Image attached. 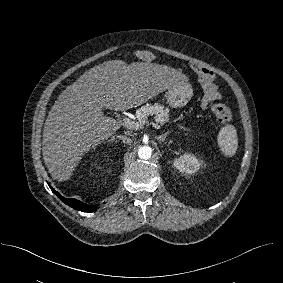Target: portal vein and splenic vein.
I'll return each instance as SVG.
<instances>
[{
  "instance_id": "obj_1",
  "label": "portal vein and splenic vein",
  "mask_w": 283,
  "mask_h": 283,
  "mask_svg": "<svg viewBox=\"0 0 283 283\" xmlns=\"http://www.w3.org/2000/svg\"><path fill=\"white\" fill-rule=\"evenodd\" d=\"M123 124L128 129H134L139 125L138 122H135L127 117L123 118ZM150 125H152V127L155 129H160V125L153 121H150Z\"/></svg>"
}]
</instances>
